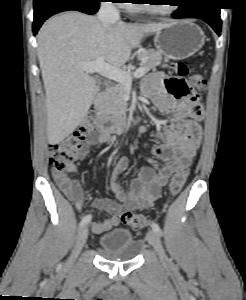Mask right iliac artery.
Instances as JSON below:
<instances>
[{
    "mask_svg": "<svg viewBox=\"0 0 246 300\" xmlns=\"http://www.w3.org/2000/svg\"><path fill=\"white\" fill-rule=\"evenodd\" d=\"M92 216L91 215H86L83 217L82 221L80 222V226H84L87 223L91 221Z\"/></svg>",
    "mask_w": 246,
    "mask_h": 300,
    "instance_id": "1",
    "label": "right iliac artery"
}]
</instances>
